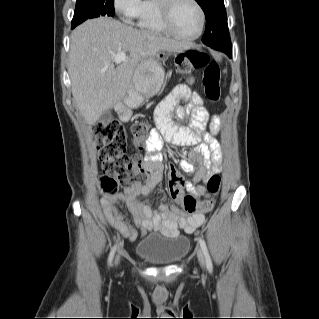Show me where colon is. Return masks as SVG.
<instances>
[{
	"instance_id": "obj_1",
	"label": "colon",
	"mask_w": 319,
	"mask_h": 319,
	"mask_svg": "<svg viewBox=\"0 0 319 319\" xmlns=\"http://www.w3.org/2000/svg\"><path fill=\"white\" fill-rule=\"evenodd\" d=\"M178 70L189 75L191 70L204 68L202 85L206 98L217 102L220 98L221 70L219 63L210 60L208 56L195 49L182 52L177 57ZM152 126L149 122L136 124L132 128L133 143L137 147L146 146L149 141L147 135ZM94 135L99 149V158L102 161L101 187L105 194H114L119 187L132 186L148 175L145 158L141 155L131 157L127 153L128 136L124 126L118 121L100 123L94 127ZM154 149H160L158 143L151 144ZM188 185V181L173 174L168 181V189L173 199L180 202L187 212H195L198 208L203 212L210 211L214 206L213 200L200 202L193 193H184L181 189ZM208 192L217 195L221 188L219 175L212 176L206 183Z\"/></svg>"
}]
</instances>
